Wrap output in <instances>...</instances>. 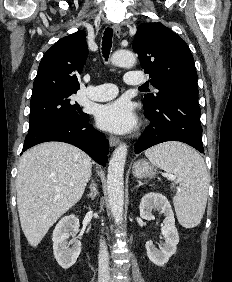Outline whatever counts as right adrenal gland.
Segmentation results:
<instances>
[{
    "label": "right adrenal gland",
    "instance_id": "right-adrenal-gland-1",
    "mask_svg": "<svg viewBox=\"0 0 232 282\" xmlns=\"http://www.w3.org/2000/svg\"><path fill=\"white\" fill-rule=\"evenodd\" d=\"M89 188H90V193L87 196L91 200H94L95 197L98 195V191H97V188H96V184L94 183V180L91 181V185H90Z\"/></svg>",
    "mask_w": 232,
    "mask_h": 282
}]
</instances>
